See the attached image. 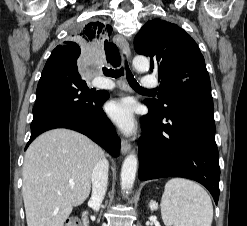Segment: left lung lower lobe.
Wrapping results in <instances>:
<instances>
[{
	"mask_svg": "<svg viewBox=\"0 0 247 226\" xmlns=\"http://www.w3.org/2000/svg\"><path fill=\"white\" fill-rule=\"evenodd\" d=\"M145 104L149 113L138 140L139 179L189 178L204 185L217 204L220 168L211 89L178 90L161 111Z\"/></svg>",
	"mask_w": 247,
	"mask_h": 226,
	"instance_id": "0a47b994",
	"label": "left lung lower lobe"
}]
</instances>
